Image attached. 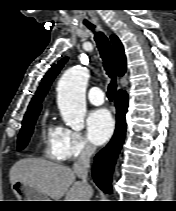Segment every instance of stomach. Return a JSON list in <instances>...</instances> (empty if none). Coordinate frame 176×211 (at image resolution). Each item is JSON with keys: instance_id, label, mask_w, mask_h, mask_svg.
I'll return each mask as SVG.
<instances>
[{"instance_id": "obj_1", "label": "stomach", "mask_w": 176, "mask_h": 211, "mask_svg": "<svg viewBox=\"0 0 176 211\" xmlns=\"http://www.w3.org/2000/svg\"><path fill=\"white\" fill-rule=\"evenodd\" d=\"M12 192L19 201H49L48 197L37 188L24 182L17 181L11 185Z\"/></svg>"}]
</instances>
